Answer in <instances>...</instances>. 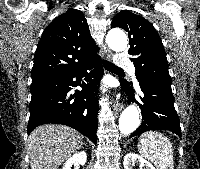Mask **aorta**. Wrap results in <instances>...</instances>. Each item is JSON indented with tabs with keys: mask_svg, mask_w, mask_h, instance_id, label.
Returning a JSON list of instances; mask_svg holds the SVG:
<instances>
[{
	"mask_svg": "<svg viewBox=\"0 0 200 169\" xmlns=\"http://www.w3.org/2000/svg\"><path fill=\"white\" fill-rule=\"evenodd\" d=\"M106 42L108 46L116 51H124L127 48V36L122 31H110L107 34ZM140 125V116L138 108L135 105H129L124 109L119 118V131L122 135H129Z\"/></svg>",
	"mask_w": 200,
	"mask_h": 169,
	"instance_id": "762f6f07",
	"label": "aorta"
}]
</instances>
